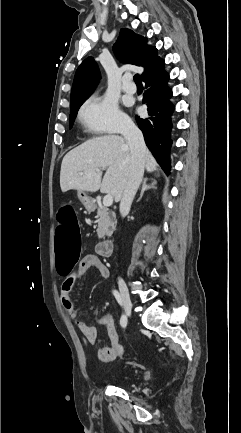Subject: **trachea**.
Segmentation results:
<instances>
[{"mask_svg": "<svg viewBox=\"0 0 241 433\" xmlns=\"http://www.w3.org/2000/svg\"><path fill=\"white\" fill-rule=\"evenodd\" d=\"M134 81H135V83H136L137 85H142V82H141V79H140L139 74H135V75H134Z\"/></svg>", "mask_w": 241, "mask_h": 433, "instance_id": "obj_1", "label": "trachea"}]
</instances>
